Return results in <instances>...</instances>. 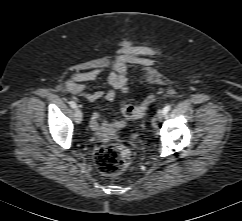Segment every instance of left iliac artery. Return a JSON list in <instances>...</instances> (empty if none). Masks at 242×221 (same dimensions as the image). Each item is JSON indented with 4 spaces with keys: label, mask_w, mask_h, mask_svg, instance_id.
Listing matches in <instances>:
<instances>
[{
    "label": "left iliac artery",
    "mask_w": 242,
    "mask_h": 221,
    "mask_svg": "<svg viewBox=\"0 0 242 221\" xmlns=\"http://www.w3.org/2000/svg\"><path fill=\"white\" fill-rule=\"evenodd\" d=\"M171 109V106L170 105H166L164 108H163V113L164 115L167 114Z\"/></svg>",
    "instance_id": "44dca946"
}]
</instances>
